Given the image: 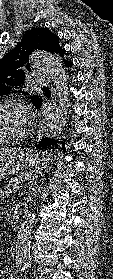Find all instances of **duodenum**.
<instances>
[{"label": "duodenum", "instance_id": "410a0bca", "mask_svg": "<svg viewBox=\"0 0 113 279\" xmlns=\"http://www.w3.org/2000/svg\"><path fill=\"white\" fill-rule=\"evenodd\" d=\"M21 216V209L19 207H15L12 211V221L17 222Z\"/></svg>", "mask_w": 113, "mask_h": 279}]
</instances>
